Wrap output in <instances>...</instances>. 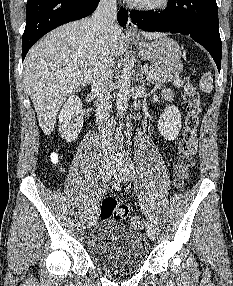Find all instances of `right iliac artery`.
<instances>
[{
	"mask_svg": "<svg viewBox=\"0 0 233 286\" xmlns=\"http://www.w3.org/2000/svg\"><path fill=\"white\" fill-rule=\"evenodd\" d=\"M107 189V180H103V182L101 183L98 192L96 194V197L93 199L92 203H91V208H90V212H92L96 207L98 202L100 201L103 193L106 191Z\"/></svg>",
	"mask_w": 233,
	"mask_h": 286,
	"instance_id": "82829eb1",
	"label": "right iliac artery"
}]
</instances>
